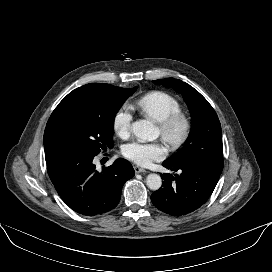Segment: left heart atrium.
<instances>
[{"mask_svg": "<svg viewBox=\"0 0 272 272\" xmlns=\"http://www.w3.org/2000/svg\"><path fill=\"white\" fill-rule=\"evenodd\" d=\"M123 155L132 162L147 166L165 157L166 150L158 142L133 141L123 146Z\"/></svg>", "mask_w": 272, "mask_h": 272, "instance_id": "left-heart-atrium-1", "label": "left heart atrium"}]
</instances>
